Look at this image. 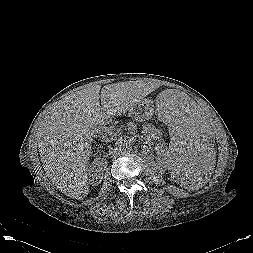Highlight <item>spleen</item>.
<instances>
[{"instance_id":"1","label":"spleen","mask_w":253,"mask_h":253,"mask_svg":"<svg viewBox=\"0 0 253 253\" xmlns=\"http://www.w3.org/2000/svg\"><path fill=\"white\" fill-rule=\"evenodd\" d=\"M154 110L169 127L170 170L185 187H200L215 157V140L199 106L183 93L163 90L154 99Z\"/></svg>"}]
</instances>
